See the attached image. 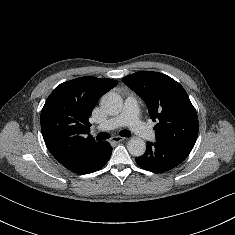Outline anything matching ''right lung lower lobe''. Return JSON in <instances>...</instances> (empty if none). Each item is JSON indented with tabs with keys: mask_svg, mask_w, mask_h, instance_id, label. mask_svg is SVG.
<instances>
[{
	"mask_svg": "<svg viewBox=\"0 0 235 235\" xmlns=\"http://www.w3.org/2000/svg\"><path fill=\"white\" fill-rule=\"evenodd\" d=\"M111 153L112 147L107 141L98 142L87 150L79 164L71 170L78 174L98 171L107 163Z\"/></svg>",
	"mask_w": 235,
	"mask_h": 235,
	"instance_id": "98d812e1",
	"label": "right lung lower lobe"
}]
</instances>
